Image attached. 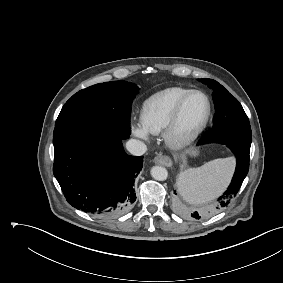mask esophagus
<instances>
[{
	"instance_id": "obj_1",
	"label": "esophagus",
	"mask_w": 283,
	"mask_h": 283,
	"mask_svg": "<svg viewBox=\"0 0 283 283\" xmlns=\"http://www.w3.org/2000/svg\"><path fill=\"white\" fill-rule=\"evenodd\" d=\"M154 163L159 164V165H163V166H166V167H170L173 164L172 159L167 155L156 156L154 158Z\"/></svg>"
}]
</instances>
